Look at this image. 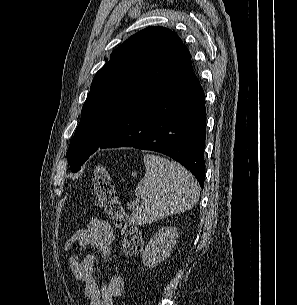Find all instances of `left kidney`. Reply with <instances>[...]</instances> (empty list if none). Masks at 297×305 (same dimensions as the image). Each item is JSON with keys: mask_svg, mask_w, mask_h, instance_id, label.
<instances>
[{"mask_svg": "<svg viewBox=\"0 0 297 305\" xmlns=\"http://www.w3.org/2000/svg\"><path fill=\"white\" fill-rule=\"evenodd\" d=\"M178 238L176 227H162L150 239L143 255L142 262L149 268L164 261L172 252Z\"/></svg>", "mask_w": 297, "mask_h": 305, "instance_id": "obj_1", "label": "left kidney"}]
</instances>
